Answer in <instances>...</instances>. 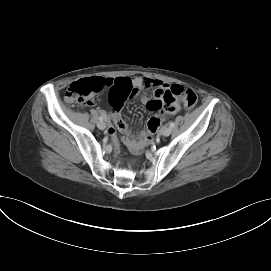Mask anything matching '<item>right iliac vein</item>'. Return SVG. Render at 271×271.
I'll list each match as a JSON object with an SVG mask.
<instances>
[{"mask_svg": "<svg viewBox=\"0 0 271 271\" xmlns=\"http://www.w3.org/2000/svg\"><path fill=\"white\" fill-rule=\"evenodd\" d=\"M97 127H98L100 130H104V129L106 128V123L103 122V121H100V122H98Z\"/></svg>", "mask_w": 271, "mask_h": 271, "instance_id": "1", "label": "right iliac vein"}]
</instances>
